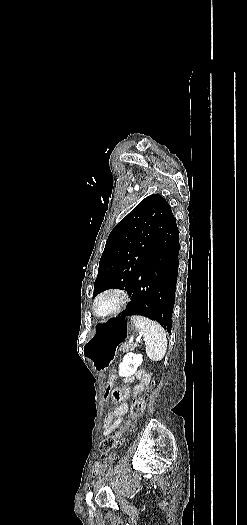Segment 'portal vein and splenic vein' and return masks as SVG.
Returning a JSON list of instances; mask_svg holds the SVG:
<instances>
[{
	"label": "portal vein and splenic vein",
	"mask_w": 247,
	"mask_h": 525,
	"mask_svg": "<svg viewBox=\"0 0 247 525\" xmlns=\"http://www.w3.org/2000/svg\"><path fill=\"white\" fill-rule=\"evenodd\" d=\"M143 335H138V338H136V341H142Z\"/></svg>",
	"instance_id": "obj_1"
}]
</instances>
